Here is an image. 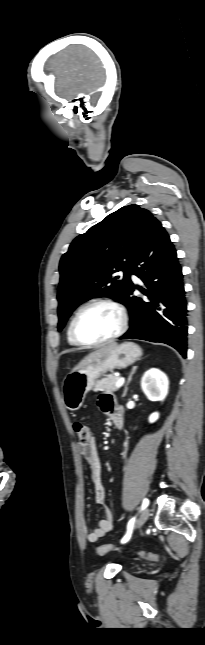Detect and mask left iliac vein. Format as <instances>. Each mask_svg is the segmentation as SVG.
<instances>
[{"mask_svg":"<svg viewBox=\"0 0 205 645\" xmlns=\"http://www.w3.org/2000/svg\"><path fill=\"white\" fill-rule=\"evenodd\" d=\"M148 517H149V509L145 508L143 510V512L141 513L140 517L138 518V520H137V522L135 524V528L136 529L140 528L147 521Z\"/></svg>","mask_w":205,"mask_h":645,"instance_id":"left-iliac-vein-1","label":"left iliac vein"}]
</instances>
